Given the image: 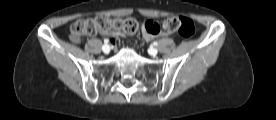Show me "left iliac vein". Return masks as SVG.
<instances>
[{
    "label": "left iliac vein",
    "instance_id": "left-iliac-vein-1",
    "mask_svg": "<svg viewBox=\"0 0 276 120\" xmlns=\"http://www.w3.org/2000/svg\"><path fill=\"white\" fill-rule=\"evenodd\" d=\"M149 54L152 56H156L158 54V50L156 48H150Z\"/></svg>",
    "mask_w": 276,
    "mask_h": 120
}]
</instances>
